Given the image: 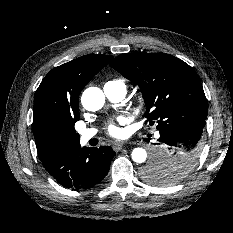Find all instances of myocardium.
Instances as JSON below:
<instances>
[{
    "mask_svg": "<svg viewBox=\"0 0 233 233\" xmlns=\"http://www.w3.org/2000/svg\"><path fill=\"white\" fill-rule=\"evenodd\" d=\"M137 106H138V109H139V110H143V109H144V103H143V102H139V103L137 104Z\"/></svg>",
    "mask_w": 233,
    "mask_h": 233,
    "instance_id": "obj_1",
    "label": "myocardium"
}]
</instances>
